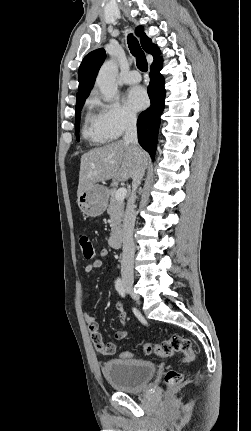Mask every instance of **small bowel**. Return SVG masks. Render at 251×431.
Segmentation results:
<instances>
[{
    "instance_id": "obj_1",
    "label": "small bowel",
    "mask_w": 251,
    "mask_h": 431,
    "mask_svg": "<svg viewBox=\"0 0 251 431\" xmlns=\"http://www.w3.org/2000/svg\"><path fill=\"white\" fill-rule=\"evenodd\" d=\"M100 255L102 257H109V251L107 249H102L100 251ZM103 266V262L101 260H94L93 262L87 264L83 268V274H90L95 269L101 268ZM115 308L119 311V320L122 325H126L127 319H126V313L123 310V306L120 302L115 303ZM84 320L86 322L92 343L95 347V349L103 354V355H112L116 352L118 344V341H121L123 339H126L128 336V332L124 329L118 330L113 335V342L104 343L102 335L99 331V324L94 316H92L89 313L84 314Z\"/></svg>"
}]
</instances>
